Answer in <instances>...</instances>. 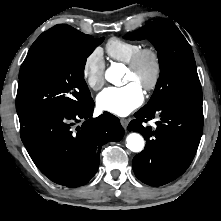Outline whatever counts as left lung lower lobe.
Here are the masks:
<instances>
[{"mask_svg":"<svg viewBox=\"0 0 221 221\" xmlns=\"http://www.w3.org/2000/svg\"><path fill=\"white\" fill-rule=\"evenodd\" d=\"M134 116L129 131L142 134L145 149L133 158L136 177L145 184L161 186L182 175L191 164L203 132L202 104L161 99L145 105ZM155 117L157 128L143 122Z\"/></svg>","mask_w":221,"mask_h":221,"instance_id":"0a47b994","label":"left lung lower lobe"}]
</instances>
